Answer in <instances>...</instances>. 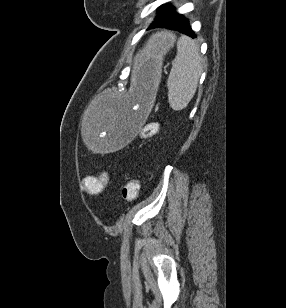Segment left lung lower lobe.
Returning a JSON list of instances; mask_svg holds the SVG:
<instances>
[{
	"mask_svg": "<svg viewBox=\"0 0 286 308\" xmlns=\"http://www.w3.org/2000/svg\"><path fill=\"white\" fill-rule=\"evenodd\" d=\"M159 27L178 30L179 32L192 38L196 37L195 33L192 31L189 25V21L182 15L175 13L174 8L171 6H167L162 11H160L155 21L150 25L149 28Z\"/></svg>",
	"mask_w": 286,
	"mask_h": 308,
	"instance_id": "1",
	"label": "left lung lower lobe"
}]
</instances>
